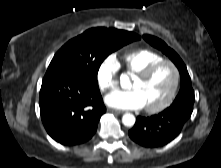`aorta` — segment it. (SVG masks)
<instances>
[{
	"label": "aorta",
	"instance_id": "aorta-1",
	"mask_svg": "<svg viewBox=\"0 0 221 168\" xmlns=\"http://www.w3.org/2000/svg\"><path fill=\"white\" fill-rule=\"evenodd\" d=\"M122 123L127 127H132L135 124V116L131 113H126L122 117Z\"/></svg>",
	"mask_w": 221,
	"mask_h": 168
}]
</instances>
